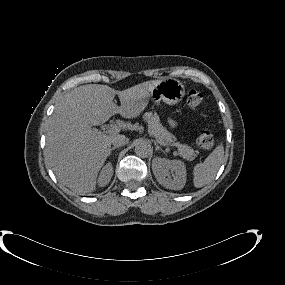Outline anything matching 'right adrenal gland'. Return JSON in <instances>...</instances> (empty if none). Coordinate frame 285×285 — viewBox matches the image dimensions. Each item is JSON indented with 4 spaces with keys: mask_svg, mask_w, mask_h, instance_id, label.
<instances>
[{
    "mask_svg": "<svg viewBox=\"0 0 285 285\" xmlns=\"http://www.w3.org/2000/svg\"><path fill=\"white\" fill-rule=\"evenodd\" d=\"M117 148H119V146H114V147H112V148L110 149L109 156L111 155V152H112L113 150L117 149Z\"/></svg>",
    "mask_w": 285,
    "mask_h": 285,
    "instance_id": "1",
    "label": "right adrenal gland"
}]
</instances>
